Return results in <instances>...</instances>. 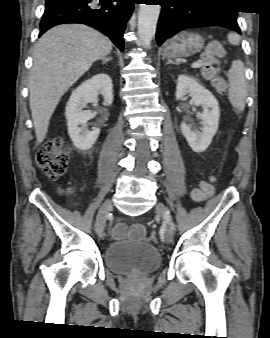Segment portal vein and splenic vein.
<instances>
[{
	"mask_svg": "<svg viewBox=\"0 0 270 338\" xmlns=\"http://www.w3.org/2000/svg\"><path fill=\"white\" fill-rule=\"evenodd\" d=\"M201 66H202V64L199 63V62H194V63L192 64V67H193V68H199V67H201Z\"/></svg>",
	"mask_w": 270,
	"mask_h": 338,
	"instance_id": "obj_1",
	"label": "portal vein and splenic vein"
}]
</instances>
